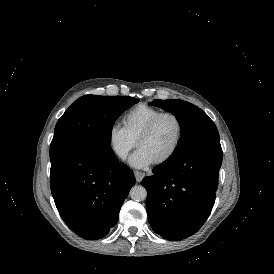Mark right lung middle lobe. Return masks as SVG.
Wrapping results in <instances>:
<instances>
[{
	"instance_id": "1",
	"label": "right lung middle lobe",
	"mask_w": 274,
	"mask_h": 274,
	"mask_svg": "<svg viewBox=\"0 0 274 274\" xmlns=\"http://www.w3.org/2000/svg\"><path fill=\"white\" fill-rule=\"evenodd\" d=\"M138 99L127 96L85 95L58 120L50 145V161L63 153L84 149H111L116 119Z\"/></svg>"
}]
</instances>
